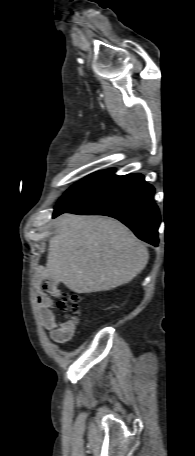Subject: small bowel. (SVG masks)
<instances>
[{"label": "small bowel", "instance_id": "1", "mask_svg": "<svg viewBox=\"0 0 195 456\" xmlns=\"http://www.w3.org/2000/svg\"><path fill=\"white\" fill-rule=\"evenodd\" d=\"M58 295V287L55 280L44 278L36 285V301L38 304V315L42 325L50 331L52 339L56 342L68 341L73 333V324L59 325L52 312V300L50 296Z\"/></svg>", "mask_w": 195, "mask_h": 456}]
</instances>
